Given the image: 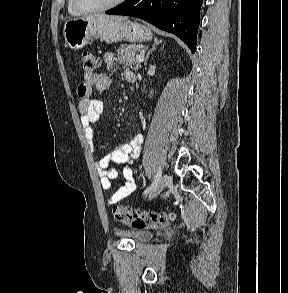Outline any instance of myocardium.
I'll return each mask as SVG.
<instances>
[{
  "label": "myocardium",
  "instance_id": "myocardium-1",
  "mask_svg": "<svg viewBox=\"0 0 288 293\" xmlns=\"http://www.w3.org/2000/svg\"><path fill=\"white\" fill-rule=\"evenodd\" d=\"M124 1L125 0H114L111 3L98 6V7H85L81 5L78 0H71V3L73 8L80 13H95V12H102V11H106L114 7H117L118 5L122 4Z\"/></svg>",
  "mask_w": 288,
  "mask_h": 293
}]
</instances>
